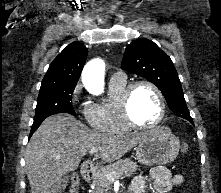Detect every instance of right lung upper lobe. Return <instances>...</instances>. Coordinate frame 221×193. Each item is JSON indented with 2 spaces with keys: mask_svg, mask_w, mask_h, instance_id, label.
I'll list each match as a JSON object with an SVG mask.
<instances>
[{
  "mask_svg": "<svg viewBox=\"0 0 221 193\" xmlns=\"http://www.w3.org/2000/svg\"><path fill=\"white\" fill-rule=\"evenodd\" d=\"M88 54L87 48L79 43L69 44L50 64L41 88L76 86Z\"/></svg>",
  "mask_w": 221,
  "mask_h": 193,
  "instance_id": "obj_1",
  "label": "right lung upper lobe"
}]
</instances>
